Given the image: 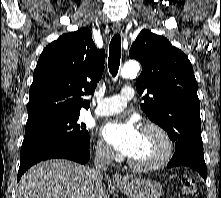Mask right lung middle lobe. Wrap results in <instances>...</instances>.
<instances>
[{
  "label": "right lung middle lobe",
  "mask_w": 221,
  "mask_h": 198,
  "mask_svg": "<svg viewBox=\"0 0 221 198\" xmlns=\"http://www.w3.org/2000/svg\"><path fill=\"white\" fill-rule=\"evenodd\" d=\"M80 113L53 114L26 123L20 155L37 146L57 141L90 145L86 125L79 123Z\"/></svg>",
  "instance_id": "right-lung-middle-lobe-1"
}]
</instances>
